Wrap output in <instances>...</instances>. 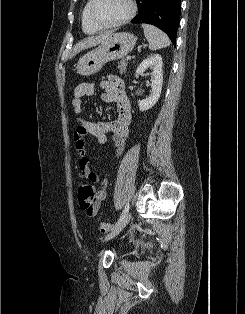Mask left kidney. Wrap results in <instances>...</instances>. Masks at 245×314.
Masks as SVG:
<instances>
[{"label": "left kidney", "mask_w": 245, "mask_h": 314, "mask_svg": "<svg viewBox=\"0 0 245 314\" xmlns=\"http://www.w3.org/2000/svg\"><path fill=\"white\" fill-rule=\"evenodd\" d=\"M162 65L161 56L155 54L143 60L136 70V77L148 68L152 70L150 79L151 93L148 98L138 102L139 110L142 112L152 108L160 97L163 84Z\"/></svg>", "instance_id": "5707ae66"}]
</instances>
